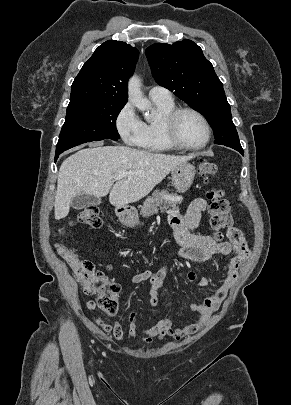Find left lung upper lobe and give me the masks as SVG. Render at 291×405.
<instances>
[{
	"instance_id": "obj_1",
	"label": "left lung upper lobe",
	"mask_w": 291,
	"mask_h": 405,
	"mask_svg": "<svg viewBox=\"0 0 291 405\" xmlns=\"http://www.w3.org/2000/svg\"><path fill=\"white\" fill-rule=\"evenodd\" d=\"M145 53L155 81L207 118L215 144L241 147L223 84L196 43H156Z\"/></svg>"
}]
</instances>
